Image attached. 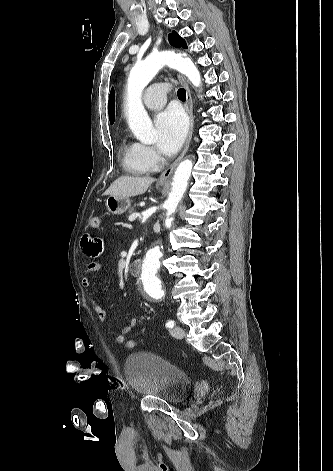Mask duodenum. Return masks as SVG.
<instances>
[{
  "mask_svg": "<svg viewBox=\"0 0 333 471\" xmlns=\"http://www.w3.org/2000/svg\"><path fill=\"white\" fill-rule=\"evenodd\" d=\"M142 265L143 263L140 259L132 261L129 265L130 274L133 276H138L142 271Z\"/></svg>",
  "mask_w": 333,
  "mask_h": 471,
  "instance_id": "obj_1",
  "label": "duodenum"
}]
</instances>
